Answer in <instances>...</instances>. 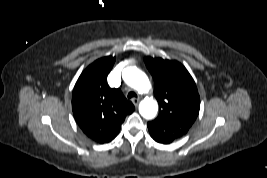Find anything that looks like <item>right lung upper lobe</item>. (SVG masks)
I'll return each mask as SVG.
<instances>
[{
	"mask_svg": "<svg viewBox=\"0 0 267 178\" xmlns=\"http://www.w3.org/2000/svg\"><path fill=\"white\" fill-rule=\"evenodd\" d=\"M115 57L106 56L89 65L78 78L72 94V110L80 129L93 141L113 140L135 107L120 89L110 88L107 76Z\"/></svg>",
	"mask_w": 267,
	"mask_h": 178,
	"instance_id": "obj_1",
	"label": "right lung upper lobe"
}]
</instances>
